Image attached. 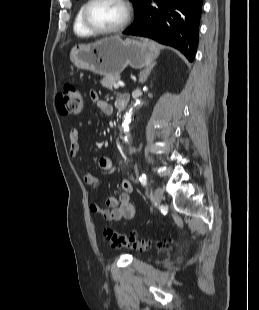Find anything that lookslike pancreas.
<instances>
[{
    "mask_svg": "<svg viewBox=\"0 0 259 310\" xmlns=\"http://www.w3.org/2000/svg\"><path fill=\"white\" fill-rule=\"evenodd\" d=\"M120 80L119 75H105V77L102 79L101 84L103 87L112 90L114 84Z\"/></svg>",
    "mask_w": 259,
    "mask_h": 310,
    "instance_id": "cf45deb5",
    "label": "pancreas"
}]
</instances>
